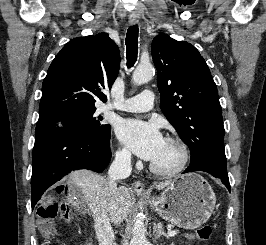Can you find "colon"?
Returning a JSON list of instances; mask_svg holds the SVG:
<instances>
[{
    "instance_id": "1",
    "label": "colon",
    "mask_w": 266,
    "mask_h": 245,
    "mask_svg": "<svg viewBox=\"0 0 266 245\" xmlns=\"http://www.w3.org/2000/svg\"><path fill=\"white\" fill-rule=\"evenodd\" d=\"M58 202L40 206L36 211L37 226L44 238V245H55V218L58 213ZM212 233L210 225H204L195 231V236L201 241H207Z\"/></svg>"
}]
</instances>
